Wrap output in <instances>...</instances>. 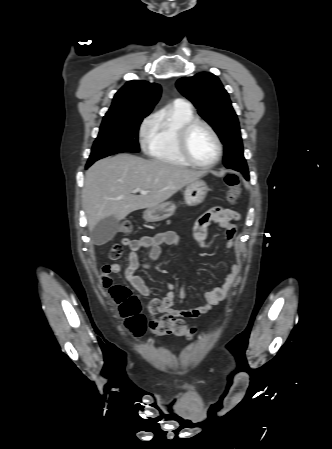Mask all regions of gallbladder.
<instances>
[{
    "instance_id": "bac80fb5",
    "label": "gallbladder",
    "mask_w": 332,
    "mask_h": 449,
    "mask_svg": "<svg viewBox=\"0 0 332 449\" xmlns=\"http://www.w3.org/2000/svg\"><path fill=\"white\" fill-rule=\"evenodd\" d=\"M119 221L109 216L100 220L91 231V238L96 245H103L110 241L116 234Z\"/></svg>"
}]
</instances>
